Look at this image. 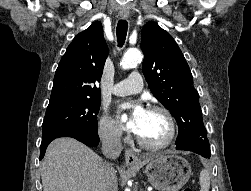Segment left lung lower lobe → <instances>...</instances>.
Wrapping results in <instances>:
<instances>
[{"label": "left lung lower lobe", "mask_w": 251, "mask_h": 191, "mask_svg": "<svg viewBox=\"0 0 251 191\" xmlns=\"http://www.w3.org/2000/svg\"><path fill=\"white\" fill-rule=\"evenodd\" d=\"M176 149L192 151L205 158L210 157V146H207L204 143L198 141H189L182 144H178L176 145Z\"/></svg>", "instance_id": "1"}]
</instances>
